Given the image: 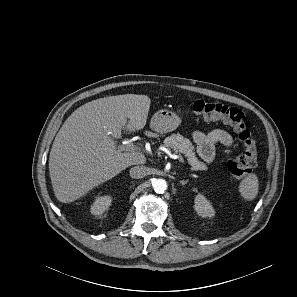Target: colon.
I'll list each match as a JSON object with an SVG mask.
<instances>
[{"label": "colon", "mask_w": 297, "mask_h": 297, "mask_svg": "<svg viewBox=\"0 0 297 297\" xmlns=\"http://www.w3.org/2000/svg\"><path fill=\"white\" fill-rule=\"evenodd\" d=\"M192 109L206 120H221L229 125L237 134L239 140L245 147L244 153L227 162L229 172L238 179L246 178L256 165L257 145L252 131L248 127L244 113L235 107L196 100L192 103Z\"/></svg>", "instance_id": "colon-1"}]
</instances>
